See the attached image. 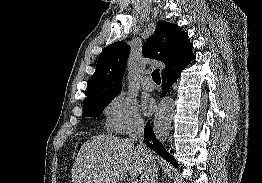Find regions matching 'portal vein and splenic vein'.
I'll list each match as a JSON object with an SVG mask.
<instances>
[{
	"label": "portal vein and splenic vein",
	"mask_w": 262,
	"mask_h": 183,
	"mask_svg": "<svg viewBox=\"0 0 262 183\" xmlns=\"http://www.w3.org/2000/svg\"><path fill=\"white\" fill-rule=\"evenodd\" d=\"M130 183H137V179L136 178H132Z\"/></svg>",
	"instance_id": "18ae733b"
}]
</instances>
